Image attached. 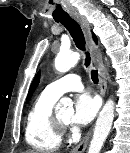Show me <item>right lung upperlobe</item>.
<instances>
[{"label":"right lung upper lobe","mask_w":130,"mask_h":153,"mask_svg":"<svg viewBox=\"0 0 130 153\" xmlns=\"http://www.w3.org/2000/svg\"><path fill=\"white\" fill-rule=\"evenodd\" d=\"M94 40L97 42V38L95 36H93ZM39 78H40V74L38 73L37 76L35 77V79L33 80V83L30 87V91L29 94L27 96V101H29L32 93L34 92L35 88L37 87L38 83H39Z\"/></svg>","instance_id":"obj_1"}]
</instances>
